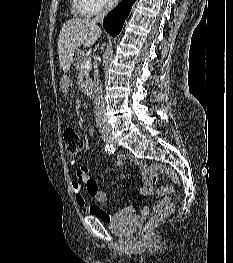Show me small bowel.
Segmentation results:
<instances>
[{"label":"small bowel","instance_id":"small-bowel-1","mask_svg":"<svg viewBox=\"0 0 233 263\" xmlns=\"http://www.w3.org/2000/svg\"><path fill=\"white\" fill-rule=\"evenodd\" d=\"M126 158L123 155L118 156L117 165L121 166L124 164ZM137 167L139 168L142 175V187L140 189V196H147L153 192V182H152V171L151 168L148 167L144 162L138 160L136 158H130ZM76 177L78 181L72 182V191L75 197V201L77 205L86 213H89L104 222H112L119 218L122 214H110L106 212L104 209L100 208L97 205H88L86 198L83 195V188L81 183H83L86 187L88 194L93 197L97 202L103 203L107 200V195L103 192L97 182L90 177V169L87 165H81L76 171ZM174 180V179H173ZM174 192V187L171 184H167L158 188L157 193L161 196V198L156 201L154 204V210L159 211L164 206L170 203V196ZM143 215L149 214L148 208H143Z\"/></svg>","mask_w":233,"mask_h":263}]
</instances>
